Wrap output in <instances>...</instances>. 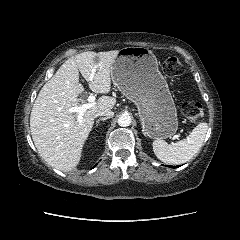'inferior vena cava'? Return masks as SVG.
I'll return each instance as SVG.
<instances>
[{
	"label": "inferior vena cava",
	"mask_w": 240,
	"mask_h": 240,
	"mask_svg": "<svg viewBox=\"0 0 240 240\" xmlns=\"http://www.w3.org/2000/svg\"><path fill=\"white\" fill-rule=\"evenodd\" d=\"M98 116H106L108 118H112L114 116V112H112L111 110L99 111L95 114V117Z\"/></svg>",
	"instance_id": "602c4592"
}]
</instances>
